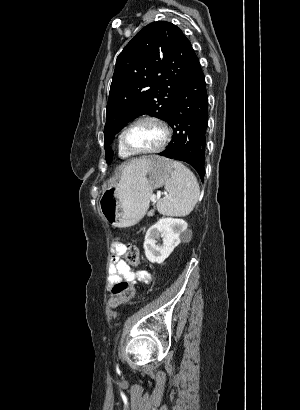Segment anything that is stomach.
I'll return each mask as SVG.
<instances>
[{
  "instance_id": "stomach-1",
  "label": "stomach",
  "mask_w": 300,
  "mask_h": 410,
  "mask_svg": "<svg viewBox=\"0 0 300 410\" xmlns=\"http://www.w3.org/2000/svg\"><path fill=\"white\" fill-rule=\"evenodd\" d=\"M172 172V161L159 156L147 158L144 165L125 166L120 181L103 192L101 214L114 227L137 224L149 208L153 190L163 186Z\"/></svg>"
}]
</instances>
